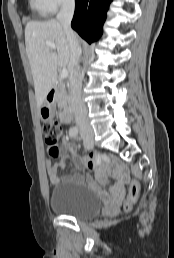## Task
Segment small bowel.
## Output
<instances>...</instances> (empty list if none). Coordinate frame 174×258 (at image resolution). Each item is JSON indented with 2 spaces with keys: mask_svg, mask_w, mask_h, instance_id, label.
Instances as JSON below:
<instances>
[{
  "mask_svg": "<svg viewBox=\"0 0 174 258\" xmlns=\"http://www.w3.org/2000/svg\"><path fill=\"white\" fill-rule=\"evenodd\" d=\"M57 151V156L62 154L61 161L56 164H52L49 161L47 162L48 177L53 185H55L60 180V178L58 177V170L64 167L70 159H73L75 165L80 168L86 170H94L99 181H104L106 179L105 171L100 168L101 159L97 157L96 154L92 153L88 156L79 155L76 152L75 147L67 139H64L61 144L57 146ZM108 163L115 168L118 175V183L113 189L112 195L113 198L117 199V197L122 192L124 184L129 181V176L127 170L118 161H108Z\"/></svg>",
  "mask_w": 174,
  "mask_h": 258,
  "instance_id": "obj_1",
  "label": "small bowel"
}]
</instances>
